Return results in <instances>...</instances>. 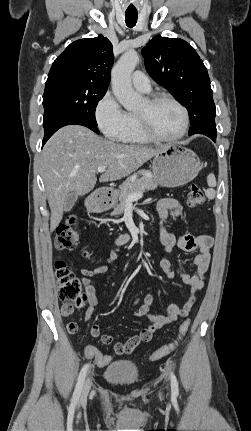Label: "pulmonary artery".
Wrapping results in <instances>:
<instances>
[{"label": "pulmonary artery", "mask_w": 251, "mask_h": 431, "mask_svg": "<svg viewBox=\"0 0 251 431\" xmlns=\"http://www.w3.org/2000/svg\"><path fill=\"white\" fill-rule=\"evenodd\" d=\"M132 83L136 89L142 92H149L151 89L149 78L141 71H135L133 73Z\"/></svg>", "instance_id": "1"}]
</instances>
